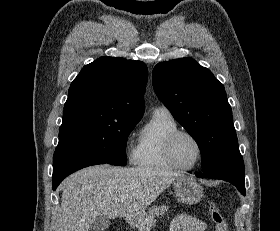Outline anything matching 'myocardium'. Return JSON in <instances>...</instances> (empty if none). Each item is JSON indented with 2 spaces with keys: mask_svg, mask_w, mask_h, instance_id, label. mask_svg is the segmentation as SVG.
<instances>
[{
  "mask_svg": "<svg viewBox=\"0 0 280 231\" xmlns=\"http://www.w3.org/2000/svg\"><path fill=\"white\" fill-rule=\"evenodd\" d=\"M181 135H187L189 137H191L192 139L195 140V142L197 143L198 145V148H199V158H198V161L196 163V165L192 166V167H183V166H180L174 159V156H173V147H174V144L177 140L178 137H180ZM164 152H165V157L166 159L168 160V162L173 166L175 167V169H178L180 171H193V170H196L198 169L203 160H204V146H203V143L202 141L191 131H188V130H183V129H178L174 132H172L166 139L165 141V145H164Z\"/></svg>",
  "mask_w": 280,
  "mask_h": 231,
  "instance_id": "myocardium-1",
  "label": "myocardium"
}]
</instances>
